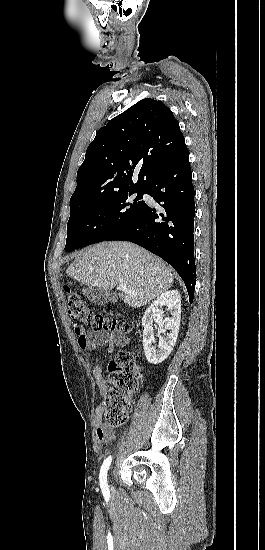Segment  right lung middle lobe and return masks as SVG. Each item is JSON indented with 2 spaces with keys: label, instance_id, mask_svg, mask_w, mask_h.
Listing matches in <instances>:
<instances>
[{
  "label": "right lung middle lobe",
  "instance_id": "dd1d6c3e",
  "mask_svg": "<svg viewBox=\"0 0 265 550\" xmlns=\"http://www.w3.org/2000/svg\"><path fill=\"white\" fill-rule=\"evenodd\" d=\"M147 189H132L90 200H70L65 251L104 241L135 219L145 208Z\"/></svg>",
  "mask_w": 265,
  "mask_h": 550
}]
</instances>
